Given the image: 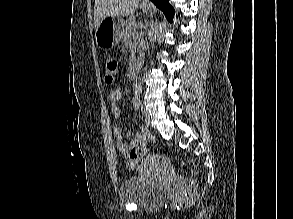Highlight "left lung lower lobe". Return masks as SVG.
<instances>
[{"mask_svg": "<svg viewBox=\"0 0 293 219\" xmlns=\"http://www.w3.org/2000/svg\"><path fill=\"white\" fill-rule=\"evenodd\" d=\"M160 10L163 11L166 18L172 23L174 17V9L169 4V0H151Z\"/></svg>", "mask_w": 293, "mask_h": 219, "instance_id": "1", "label": "left lung lower lobe"}]
</instances>
